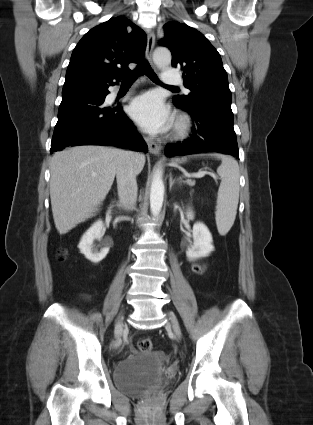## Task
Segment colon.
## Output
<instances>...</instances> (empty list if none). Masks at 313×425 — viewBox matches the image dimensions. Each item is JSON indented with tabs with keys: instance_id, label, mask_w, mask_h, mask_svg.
<instances>
[{
	"instance_id": "colon-1",
	"label": "colon",
	"mask_w": 313,
	"mask_h": 425,
	"mask_svg": "<svg viewBox=\"0 0 313 425\" xmlns=\"http://www.w3.org/2000/svg\"><path fill=\"white\" fill-rule=\"evenodd\" d=\"M58 258L63 260L65 258V253L63 251L59 252ZM204 271L203 266H193L191 272L193 274H202ZM137 347L141 352H150L153 349V343L150 339L143 338L137 342Z\"/></svg>"
}]
</instances>
